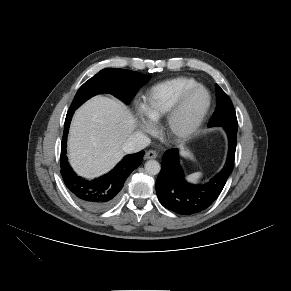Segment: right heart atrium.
Instances as JSON below:
<instances>
[{"label":"right heart atrium","mask_w":291,"mask_h":291,"mask_svg":"<svg viewBox=\"0 0 291 291\" xmlns=\"http://www.w3.org/2000/svg\"><path fill=\"white\" fill-rule=\"evenodd\" d=\"M139 125L142 130L145 132H151L153 130V124L148 119H145L144 117H140L139 119Z\"/></svg>","instance_id":"right-heart-atrium-1"}]
</instances>
